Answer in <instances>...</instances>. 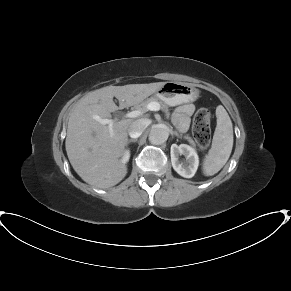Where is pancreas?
<instances>
[{"label": "pancreas", "instance_id": "cf45deb5", "mask_svg": "<svg viewBox=\"0 0 291 291\" xmlns=\"http://www.w3.org/2000/svg\"><path fill=\"white\" fill-rule=\"evenodd\" d=\"M151 102H159L161 104V108L162 110L168 114V106L166 104H164L163 102L159 101V99L156 96H152L148 99H146L145 101L141 102L140 104L136 105V108L142 111H146V106L151 103ZM184 138L193 146H196L195 141L189 136V135H185Z\"/></svg>", "mask_w": 291, "mask_h": 291}]
</instances>
